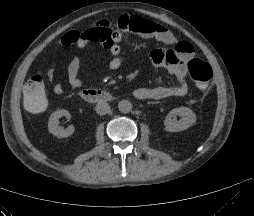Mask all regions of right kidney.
I'll return each mask as SVG.
<instances>
[{
  "label": "right kidney",
  "instance_id": "ca27d5eb",
  "mask_svg": "<svg viewBox=\"0 0 254 216\" xmlns=\"http://www.w3.org/2000/svg\"><path fill=\"white\" fill-rule=\"evenodd\" d=\"M62 116L70 117V113L68 110L65 109H59L55 112H53L48 121V129L49 132L58 138H64L71 136L75 129L73 126H69L68 128L64 129L63 127L58 126L59 124V118Z\"/></svg>",
  "mask_w": 254,
  "mask_h": 216
}]
</instances>
